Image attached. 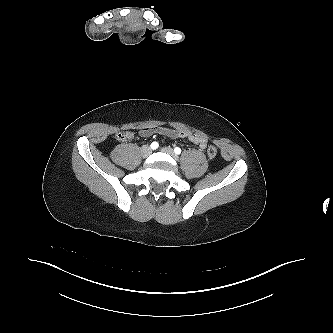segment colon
I'll return each instance as SVG.
<instances>
[{"mask_svg":"<svg viewBox=\"0 0 333 333\" xmlns=\"http://www.w3.org/2000/svg\"><path fill=\"white\" fill-rule=\"evenodd\" d=\"M119 141H129L133 138V133L129 131H122L116 135ZM207 155L209 158H214L217 155V148L213 145L207 147Z\"/></svg>","mask_w":333,"mask_h":333,"instance_id":"colon-1","label":"colon"}]
</instances>
